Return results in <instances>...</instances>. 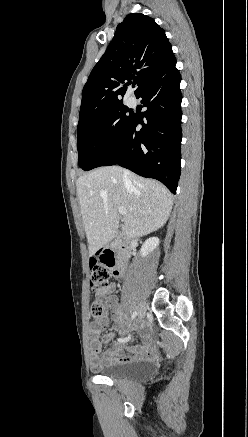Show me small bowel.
<instances>
[{
	"instance_id": "small-bowel-1",
	"label": "small bowel",
	"mask_w": 248,
	"mask_h": 437,
	"mask_svg": "<svg viewBox=\"0 0 248 437\" xmlns=\"http://www.w3.org/2000/svg\"><path fill=\"white\" fill-rule=\"evenodd\" d=\"M116 286L114 283H110L105 287L100 288L96 292V296L103 300L106 306L110 309L116 310L118 306V299L115 293ZM108 317H102L100 320L92 323L90 327V338H91V358L90 366L91 369L96 371L99 370L103 365L106 364H120L138 359L149 358L153 354V349L151 347L148 333L143 325H140V333L143 337V344L141 345H131V346H115L107 349L102 356L100 353L102 351V342H111L116 340L114 334L106 335L103 339L100 338V333L102 329L107 328ZM120 339V338H119ZM119 339H117L118 343Z\"/></svg>"
}]
</instances>
